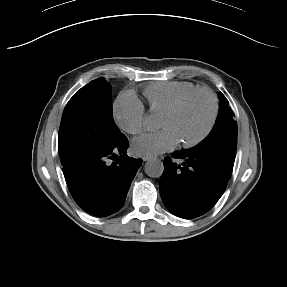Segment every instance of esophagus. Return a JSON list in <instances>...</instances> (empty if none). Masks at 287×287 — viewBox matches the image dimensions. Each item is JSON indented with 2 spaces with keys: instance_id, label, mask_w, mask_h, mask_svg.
<instances>
[{
  "instance_id": "34e87169",
  "label": "esophagus",
  "mask_w": 287,
  "mask_h": 287,
  "mask_svg": "<svg viewBox=\"0 0 287 287\" xmlns=\"http://www.w3.org/2000/svg\"><path fill=\"white\" fill-rule=\"evenodd\" d=\"M142 159H143L144 161H148V160L153 159V157L144 155V156L142 157Z\"/></svg>"
}]
</instances>
